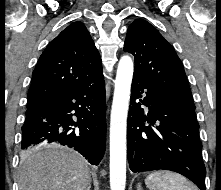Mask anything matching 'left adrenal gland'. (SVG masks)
<instances>
[{
    "label": "left adrenal gland",
    "mask_w": 221,
    "mask_h": 190,
    "mask_svg": "<svg viewBox=\"0 0 221 190\" xmlns=\"http://www.w3.org/2000/svg\"><path fill=\"white\" fill-rule=\"evenodd\" d=\"M137 190H143V189L141 188V185H137Z\"/></svg>",
    "instance_id": "obj_1"
}]
</instances>
